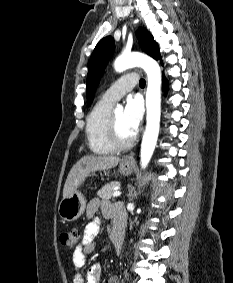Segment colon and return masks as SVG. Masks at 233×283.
<instances>
[{
    "mask_svg": "<svg viewBox=\"0 0 233 283\" xmlns=\"http://www.w3.org/2000/svg\"><path fill=\"white\" fill-rule=\"evenodd\" d=\"M79 236L80 232L77 228L69 229L60 235V243L64 247L73 248L76 245Z\"/></svg>",
    "mask_w": 233,
    "mask_h": 283,
    "instance_id": "5ec220e1",
    "label": "colon"
}]
</instances>
